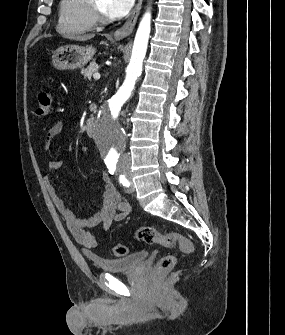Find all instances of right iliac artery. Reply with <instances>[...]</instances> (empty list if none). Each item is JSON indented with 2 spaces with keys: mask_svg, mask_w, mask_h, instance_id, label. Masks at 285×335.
Returning <instances> with one entry per match:
<instances>
[{
  "mask_svg": "<svg viewBox=\"0 0 285 335\" xmlns=\"http://www.w3.org/2000/svg\"><path fill=\"white\" fill-rule=\"evenodd\" d=\"M106 165H107V168L109 169V173L110 174H114V172L116 170V163H114V162H107Z\"/></svg>",
  "mask_w": 285,
  "mask_h": 335,
  "instance_id": "right-iliac-artery-1",
  "label": "right iliac artery"
}]
</instances>
